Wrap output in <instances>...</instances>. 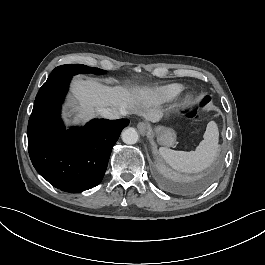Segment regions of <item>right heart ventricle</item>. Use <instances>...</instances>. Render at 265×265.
<instances>
[{"label":"right heart ventricle","instance_id":"e07e8e85","mask_svg":"<svg viewBox=\"0 0 265 265\" xmlns=\"http://www.w3.org/2000/svg\"><path fill=\"white\" fill-rule=\"evenodd\" d=\"M185 89V83L173 81L153 87L140 88L135 91L138 99L144 104L156 105L170 102Z\"/></svg>","mask_w":265,"mask_h":265}]
</instances>
